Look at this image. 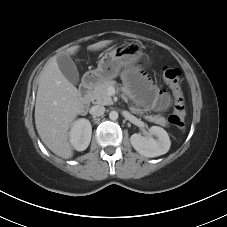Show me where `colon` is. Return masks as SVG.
Segmentation results:
<instances>
[{
    "label": "colon",
    "instance_id": "colon-1",
    "mask_svg": "<svg viewBox=\"0 0 227 227\" xmlns=\"http://www.w3.org/2000/svg\"><path fill=\"white\" fill-rule=\"evenodd\" d=\"M163 78L169 85L174 96L173 112L169 116V122L175 127L182 128L185 121V101L181 86V72L177 68L164 67Z\"/></svg>",
    "mask_w": 227,
    "mask_h": 227
}]
</instances>
